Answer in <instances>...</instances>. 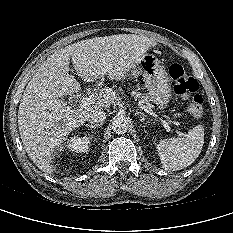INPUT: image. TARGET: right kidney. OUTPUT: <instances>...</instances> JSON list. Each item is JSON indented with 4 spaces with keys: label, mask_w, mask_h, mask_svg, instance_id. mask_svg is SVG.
Wrapping results in <instances>:
<instances>
[{
    "label": "right kidney",
    "mask_w": 233,
    "mask_h": 233,
    "mask_svg": "<svg viewBox=\"0 0 233 233\" xmlns=\"http://www.w3.org/2000/svg\"><path fill=\"white\" fill-rule=\"evenodd\" d=\"M90 147V139L86 136H74L67 140L66 148L72 153H85Z\"/></svg>",
    "instance_id": "right-kidney-1"
}]
</instances>
